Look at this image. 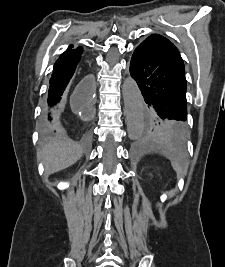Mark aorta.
I'll return each instance as SVG.
<instances>
[{"label": "aorta", "mask_w": 225, "mask_h": 267, "mask_svg": "<svg viewBox=\"0 0 225 267\" xmlns=\"http://www.w3.org/2000/svg\"><path fill=\"white\" fill-rule=\"evenodd\" d=\"M122 93L126 110L128 136L130 139H137L144 128V100L137 83L130 77L124 81Z\"/></svg>", "instance_id": "aorta-1"}]
</instances>
